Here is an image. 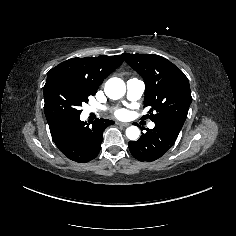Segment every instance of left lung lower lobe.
Wrapping results in <instances>:
<instances>
[{
  "label": "left lung lower lobe",
  "instance_id": "0a47b994",
  "mask_svg": "<svg viewBox=\"0 0 236 236\" xmlns=\"http://www.w3.org/2000/svg\"><path fill=\"white\" fill-rule=\"evenodd\" d=\"M153 129H147L139 140L128 143L131 154L139 161H155L175 143L184 121L177 118L158 120Z\"/></svg>",
  "mask_w": 236,
  "mask_h": 236
}]
</instances>
